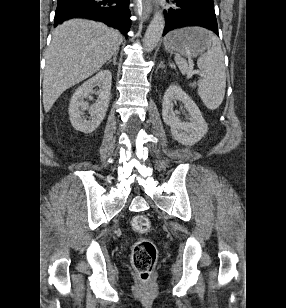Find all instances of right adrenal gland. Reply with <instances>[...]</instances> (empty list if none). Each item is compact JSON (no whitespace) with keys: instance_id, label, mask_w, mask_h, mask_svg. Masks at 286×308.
Listing matches in <instances>:
<instances>
[{"instance_id":"2a0ac1e0","label":"right adrenal gland","mask_w":286,"mask_h":308,"mask_svg":"<svg viewBox=\"0 0 286 308\" xmlns=\"http://www.w3.org/2000/svg\"><path fill=\"white\" fill-rule=\"evenodd\" d=\"M117 54H118V51L113 55V59H110V60L107 62V64H110L111 62H113V64L116 65Z\"/></svg>"}]
</instances>
